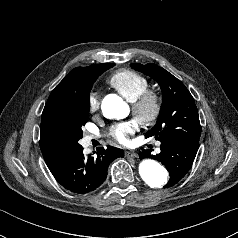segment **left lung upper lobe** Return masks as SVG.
Masks as SVG:
<instances>
[{"mask_svg": "<svg viewBox=\"0 0 238 238\" xmlns=\"http://www.w3.org/2000/svg\"><path fill=\"white\" fill-rule=\"evenodd\" d=\"M131 67L153 78L162 89V106L156 125L146 133V138L156 140L191 139L201 135L197 107L184 84L156 64H131Z\"/></svg>", "mask_w": 238, "mask_h": 238, "instance_id": "5c2ea615", "label": "left lung upper lobe"}]
</instances>
